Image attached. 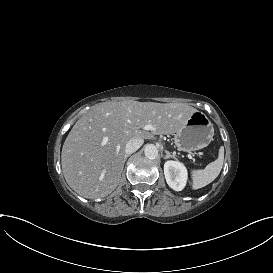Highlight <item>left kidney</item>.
Returning a JSON list of instances; mask_svg holds the SVG:
<instances>
[{
	"instance_id": "5707ae66",
	"label": "left kidney",
	"mask_w": 273,
	"mask_h": 273,
	"mask_svg": "<svg viewBox=\"0 0 273 273\" xmlns=\"http://www.w3.org/2000/svg\"><path fill=\"white\" fill-rule=\"evenodd\" d=\"M164 175L167 184L175 191L184 189L187 181V169L179 161H167L164 164Z\"/></svg>"
}]
</instances>
